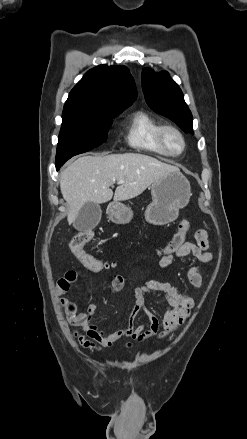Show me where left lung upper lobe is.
<instances>
[{
	"instance_id": "1",
	"label": "left lung upper lobe",
	"mask_w": 247,
	"mask_h": 439,
	"mask_svg": "<svg viewBox=\"0 0 247 439\" xmlns=\"http://www.w3.org/2000/svg\"><path fill=\"white\" fill-rule=\"evenodd\" d=\"M142 89L151 109L174 121L184 132L193 133L192 114L179 86L167 72L142 71Z\"/></svg>"
}]
</instances>
